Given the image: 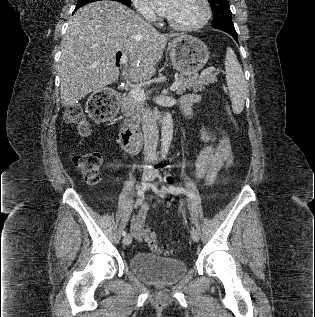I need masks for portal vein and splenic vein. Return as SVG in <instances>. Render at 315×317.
<instances>
[{"label":"portal vein and splenic vein","mask_w":315,"mask_h":317,"mask_svg":"<svg viewBox=\"0 0 315 317\" xmlns=\"http://www.w3.org/2000/svg\"><path fill=\"white\" fill-rule=\"evenodd\" d=\"M120 62H121L122 65H127V63H128V58H127V56L124 55V56L121 58ZM211 70H214V68H209V69L206 70V71H211ZM204 72H205V71H204ZM204 72H202L201 74H203ZM179 85H180L179 80H176V81L172 84V86L170 87V90H171V91L177 90L178 87H179ZM131 93H132L133 97H134L135 99H137V100H143V99H145V96H146L144 90H142L140 87H134V88H132V89H131Z\"/></svg>","instance_id":"obj_1"}]
</instances>
